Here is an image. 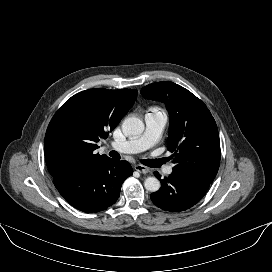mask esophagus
<instances>
[{
  "instance_id": "esophagus-1",
  "label": "esophagus",
  "mask_w": 272,
  "mask_h": 272,
  "mask_svg": "<svg viewBox=\"0 0 272 272\" xmlns=\"http://www.w3.org/2000/svg\"><path fill=\"white\" fill-rule=\"evenodd\" d=\"M134 169L139 172V173H142V174H146L149 172V169L148 167L144 166V165H141V164H137L134 166Z\"/></svg>"
}]
</instances>
